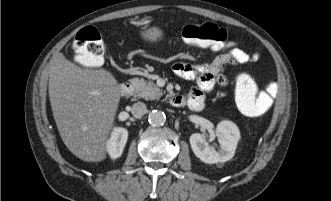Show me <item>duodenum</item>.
<instances>
[{
    "label": "duodenum",
    "mask_w": 331,
    "mask_h": 201,
    "mask_svg": "<svg viewBox=\"0 0 331 201\" xmlns=\"http://www.w3.org/2000/svg\"><path fill=\"white\" fill-rule=\"evenodd\" d=\"M132 91V84L130 82H123L119 86V92L122 97H127ZM169 102L174 107H180L184 105V98L182 95L172 94L170 95Z\"/></svg>",
    "instance_id": "1"
}]
</instances>
